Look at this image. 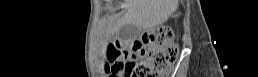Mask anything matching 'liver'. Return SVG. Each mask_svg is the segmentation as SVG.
<instances>
[{"label":"liver","instance_id":"obj_1","mask_svg":"<svg viewBox=\"0 0 258 77\" xmlns=\"http://www.w3.org/2000/svg\"><path fill=\"white\" fill-rule=\"evenodd\" d=\"M176 0H124V23L145 29L162 24L176 6Z\"/></svg>","mask_w":258,"mask_h":77}]
</instances>
